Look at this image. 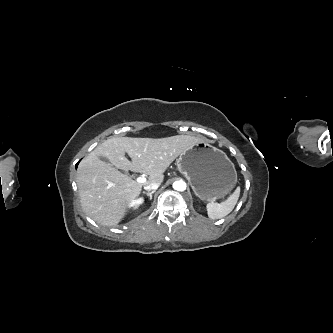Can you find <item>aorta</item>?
Wrapping results in <instances>:
<instances>
[{"instance_id": "762f6f07", "label": "aorta", "mask_w": 333, "mask_h": 333, "mask_svg": "<svg viewBox=\"0 0 333 333\" xmlns=\"http://www.w3.org/2000/svg\"><path fill=\"white\" fill-rule=\"evenodd\" d=\"M173 188L177 191L186 190V183L182 180L176 181L173 183Z\"/></svg>"}]
</instances>
